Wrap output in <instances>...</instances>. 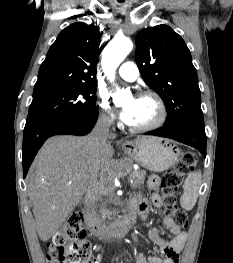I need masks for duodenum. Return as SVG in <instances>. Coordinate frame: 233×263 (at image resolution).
Masks as SVG:
<instances>
[{"instance_id": "duodenum-1", "label": "duodenum", "mask_w": 233, "mask_h": 263, "mask_svg": "<svg viewBox=\"0 0 233 263\" xmlns=\"http://www.w3.org/2000/svg\"><path fill=\"white\" fill-rule=\"evenodd\" d=\"M85 225L89 232L100 240L111 239L116 237H123L127 234L133 226L137 214L136 204L130 202L128 212L120 220L114 222L111 225H101L91 210L87 207L84 209Z\"/></svg>"}]
</instances>
